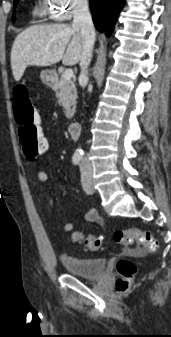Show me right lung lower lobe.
I'll return each instance as SVG.
<instances>
[{"label": "right lung lower lobe", "instance_id": "1", "mask_svg": "<svg viewBox=\"0 0 171 337\" xmlns=\"http://www.w3.org/2000/svg\"><path fill=\"white\" fill-rule=\"evenodd\" d=\"M124 3L125 0H90L95 27L110 36Z\"/></svg>", "mask_w": 171, "mask_h": 337}]
</instances>
